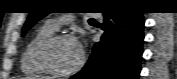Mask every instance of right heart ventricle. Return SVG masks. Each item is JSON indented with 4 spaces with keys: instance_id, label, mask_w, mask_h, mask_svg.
Wrapping results in <instances>:
<instances>
[{
    "instance_id": "1",
    "label": "right heart ventricle",
    "mask_w": 177,
    "mask_h": 79,
    "mask_svg": "<svg viewBox=\"0 0 177 79\" xmlns=\"http://www.w3.org/2000/svg\"><path fill=\"white\" fill-rule=\"evenodd\" d=\"M56 29L45 24L41 26L26 44L21 58L22 72L29 75L41 76L47 74L36 61V51L39 45L47 38L53 36Z\"/></svg>"
}]
</instances>
